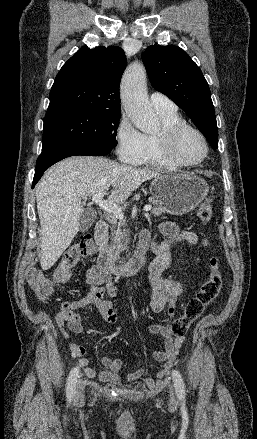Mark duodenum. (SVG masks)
Instances as JSON below:
<instances>
[{"label": "duodenum", "instance_id": "410a0bca", "mask_svg": "<svg viewBox=\"0 0 257 439\" xmlns=\"http://www.w3.org/2000/svg\"><path fill=\"white\" fill-rule=\"evenodd\" d=\"M107 231V223L103 220L99 221L94 231L95 242L100 251L97 267L102 272L111 273L116 276H128L136 273L145 262V254L149 248L148 241L140 240L129 259L126 262L117 264L112 260L107 250Z\"/></svg>", "mask_w": 257, "mask_h": 439}]
</instances>
